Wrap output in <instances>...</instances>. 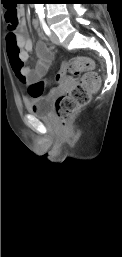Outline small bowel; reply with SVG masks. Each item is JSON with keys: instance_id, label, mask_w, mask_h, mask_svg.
Here are the masks:
<instances>
[{"instance_id": "c3829d8e", "label": "small bowel", "mask_w": 122, "mask_h": 257, "mask_svg": "<svg viewBox=\"0 0 122 257\" xmlns=\"http://www.w3.org/2000/svg\"><path fill=\"white\" fill-rule=\"evenodd\" d=\"M18 14L20 18L17 25L13 29L8 26L6 35L8 64H12L11 73H16L20 82L26 84L38 82V79H42L52 66L53 51L45 42L40 41L36 46V52L39 57L36 67L34 69L26 67L27 60L33 50V42L28 36L24 9L19 8ZM33 26L35 29H39V21L37 19L33 21Z\"/></svg>"}]
</instances>
